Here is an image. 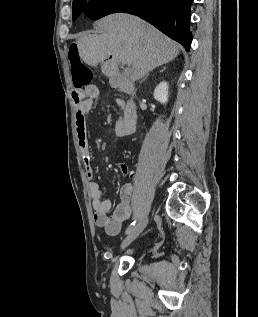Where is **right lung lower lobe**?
Returning <instances> with one entry per match:
<instances>
[{"label":"right lung lower lobe","mask_w":258,"mask_h":317,"mask_svg":"<svg viewBox=\"0 0 258 317\" xmlns=\"http://www.w3.org/2000/svg\"><path fill=\"white\" fill-rule=\"evenodd\" d=\"M193 0H119L116 12H126L146 20L189 51L192 34L189 29ZM88 17L87 10L83 11Z\"/></svg>","instance_id":"right-lung-lower-lobe-1"}]
</instances>
